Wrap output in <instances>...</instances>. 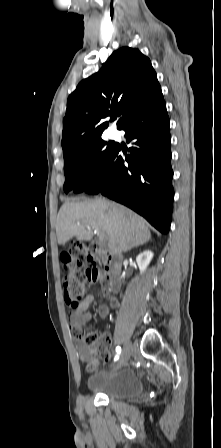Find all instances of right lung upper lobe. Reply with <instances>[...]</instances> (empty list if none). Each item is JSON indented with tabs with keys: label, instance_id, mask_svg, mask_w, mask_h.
Here are the masks:
<instances>
[{
	"label": "right lung upper lobe",
	"instance_id": "1",
	"mask_svg": "<svg viewBox=\"0 0 221 448\" xmlns=\"http://www.w3.org/2000/svg\"><path fill=\"white\" fill-rule=\"evenodd\" d=\"M160 94L156 73L146 56L129 47L113 52L102 68L82 80L68 97L61 142L64 159L101 138L109 124L106 117L116 114L120 129L131 114Z\"/></svg>",
	"mask_w": 221,
	"mask_h": 448
}]
</instances>
